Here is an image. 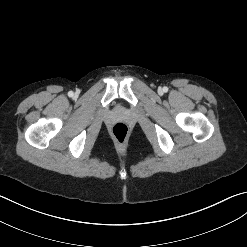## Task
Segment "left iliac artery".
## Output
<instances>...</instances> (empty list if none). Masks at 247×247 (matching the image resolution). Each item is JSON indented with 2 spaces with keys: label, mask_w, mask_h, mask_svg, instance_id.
Wrapping results in <instances>:
<instances>
[{
  "label": "left iliac artery",
  "mask_w": 247,
  "mask_h": 247,
  "mask_svg": "<svg viewBox=\"0 0 247 247\" xmlns=\"http://www.w3.org/2000/svg\"><path fill=\"white\" fill-rule=\"evenodd\" d=\"M163 91L164 92H167L168 91V88L167 87H163Z\"/></svg>",
  "instance_id": "44dca946"
}]
</instances>
